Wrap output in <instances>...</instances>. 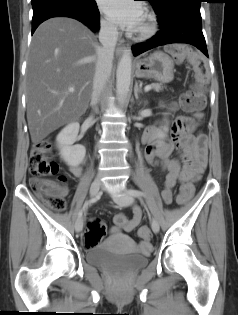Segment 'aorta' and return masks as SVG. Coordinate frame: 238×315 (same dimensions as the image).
Here are the masks:
<instances>
[{
	"mask_svg": "<svg viewBox=\"0 0 238 315\" xmlns=\"http://www.w3.org/2000/svg\"><path fill=\"white\" fill-rule=\"evenodd\" d=\"M132 69V53L130 49H125L117 66L116 71V90L120 101L126 98L130 83Z\"/></svg>",
	"mask_w": 238,
	"mask_h": 315,
	"instance_id": "1",
	"label": "aorta"
}]
</instances>
